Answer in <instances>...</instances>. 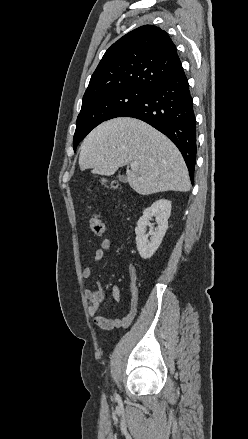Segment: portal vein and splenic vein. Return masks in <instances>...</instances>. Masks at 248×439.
Masks as SVG:
<instances>
[{
	"instance_id": "1",
	"label": "portal vein and splenic vein",
	"mask_w": 248,
	"mask_h": 439,
	"mask_svg": "<svg viewBox=\"0 0 248 439\" xmlns=\"http://www.w3.org/2000/svg\"><path fill=\"white\" fill-rule=\"evenodd\" d=\"M130 167H131V169H136L137 167H138V164L136 163V162H132L131 164H130Z\"/></svg>"
}]
</instances>
